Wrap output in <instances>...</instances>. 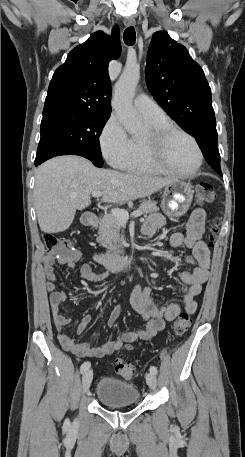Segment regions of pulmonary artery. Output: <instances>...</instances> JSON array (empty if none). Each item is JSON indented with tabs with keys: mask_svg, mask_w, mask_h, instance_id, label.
Here are the masks:
<instances>
[{
	"mask_svg": "<svg viewBox=\"0 0 245 457\" xmlns=\"http://www.w3.org/2000/svg\"><path fill=\"white\" fill-rule=\"evenodd\" d=\"M135 109L145 118L154 119L163 116L162 108L153 101L147 100L145 93H139L133 99Z\"/></svg>",
	"mask_w": 245,
	"mask_h": 457,
	"instance_id": "e3ab8cb5",
	"label": "pulmonary artery"
}]
</instances>
